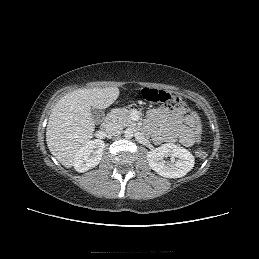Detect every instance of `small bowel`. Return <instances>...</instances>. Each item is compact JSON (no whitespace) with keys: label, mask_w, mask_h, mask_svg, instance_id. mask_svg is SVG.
I'll list each match as a JSON object with an SVG mask.
<instances>
[{"label":"small bowel","mask_w":259,"mask_h":259,"mask_svg":"<svg viewBox=\"0 0 259 259\" xmlns=\"http://www.w3.org/2000/svg\"><path fill=\"white\" fill-rule=\"evenodd\" d=\"M189 107L176 105L173 108H153L147 113L148 126L159 141L180 142L192 146L194 142L193 125Z\"/></svg>","instance_id":"1"}]
</instances>
